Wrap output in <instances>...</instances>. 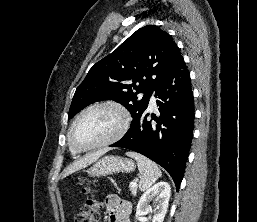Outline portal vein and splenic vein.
<instances>
[{
	"mask_svg": "<svg viewBox=\"0 0 257 222\" xmlns=\"http://www.w3.org/2000/svg\"><path fill=\"white\" fill-rule=\"evenodd\" d=\"M130 187H137L136 181L131 182V183H130Z\"/></svg>",
	"mask_w": 257,
	"mask_h": 222,
	"instance_id": "obj_1",
	"label": "portal vein and splenic vein"
}]
</instances>
